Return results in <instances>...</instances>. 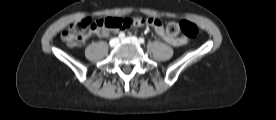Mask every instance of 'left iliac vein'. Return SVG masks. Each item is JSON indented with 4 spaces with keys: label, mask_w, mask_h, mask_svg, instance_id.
<instances>
[{
    "label": "left iliac vein",
    "mask_w": 276,
    "mask_h": 120,
    "mask_svg": "<svg viewBox=\"0 0 276 120\" xmlns=\"http://www.w3.org/2000/svg\"><path fill=\"white\" fill-rule=\"evenodd\" d=\"M122 41H130L136 45H139V41L135 36H129V37L123 38Z\"/></svg>",
    "instance_id": "obj_1"
}]
</instances>
